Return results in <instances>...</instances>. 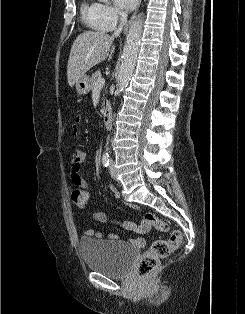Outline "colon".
<instances>
[{"instance_id":"colon-1","label":"colon","mask_w":245,"mask_h":314,"mask_svg":"<svg viewBox=\"0 0 245 314\" xmlns=\"http://www.w3.org/2000/svg\"><path fill=\"white\" fill-rule=\"evenodd\" d=\"M72 201L78 207H86L89 202V192L87 189H76L72 192ZM144 229L155 228L159 231H167L166 222L158 218L151 212H145L142 217ZM133 227V224L131 225ZM182 243V234L173 231L167 240H155L149 249L141 257L137 270L141 277L151 273L161 259L167 258L173 251L179 248Z\"/></svg>"}]
</instances>
